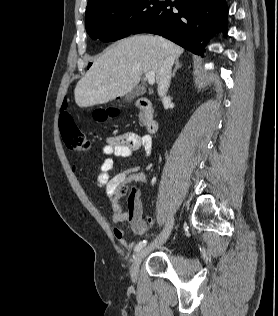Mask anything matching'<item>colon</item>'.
I'll list each match as a JSON object with an SVG mask.
<instances>
[{"mask_svg":"<svg viewBox=\"0 0 278 316\" xmlns=\"http://www.w3.org/2000/svg\"><path fill=\"white\" fill-rule=\"evenodd\" d=\"M97 120H103L106 118L105 114H97L95 116ZM60 132L66 147L73 151H84L90 147V140L84 132L78 127L74 118L68 113H62L60 115ZM118 192L120 194L125 193V187H121Z\"/></svg>","mask_w":278,"mask_h":316,"instance_id":"5ec220e1","label":"colon"}]
</instances>
